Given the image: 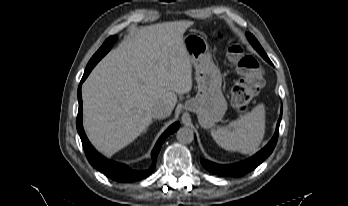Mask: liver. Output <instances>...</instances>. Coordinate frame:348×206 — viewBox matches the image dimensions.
<instances>
[{
	"mask_svg": "<svg viewBox=\"0 0 348 206\" xmlns=\"http://www.w3.org/2000/svg\"><path fill=\"white\" fill-rule=\"evenodd\" d=\"M191 21L164 22L128 35L92 70L82 87L83 125L92 145L111 157L152 122L171 112L177 94L192 89V63L183 43Z\"/></svg>",
	"mask_w": 348,
	"mask_h": 206,
	"instance_id": "1",
	"label": "liver"
}]
</instances>
